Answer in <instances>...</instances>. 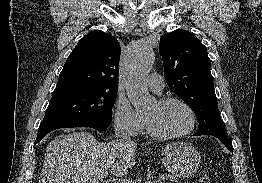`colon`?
Returning a JSON list of instances; mask_svg holds the SVG:
<instances>
[{
  "mask_svg": "<svg viewBox=\"0 0 262 183\" xmlns=\"http://www.w3.org/2000/svg\"><path fill=\"white\" fill-rule=\"evenodd\" d=\"M200 183H211V178L208 174H202L199 178Z\"/></svg>",
  "mask_w": 262,
  "mask_h": 183,
  "instance_id": "1",
  "label": "colon"
}]
</instances>
